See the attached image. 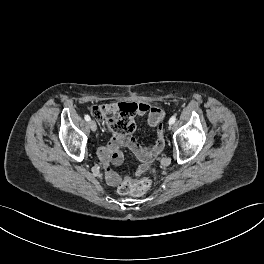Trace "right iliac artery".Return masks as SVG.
Returning a JSON list of instances; mask_svg holds the SVG:
<instances>
[{
    "label": "right iliac artery",
    "mask_w": 264,
    "mask_h": 264,
    "mask_svg": "<svg viewBox=\"0 0 264 264\" xmlns=\"http://www.w3.org/2000/svg\"><path fill=\"white\" fill-rule=\"evenodd\" d=\"M84 118H85L86 121H90V116L89 115H85Z\"/></svg>",
    "instance_id": "obj_1"
}]
</instances>
